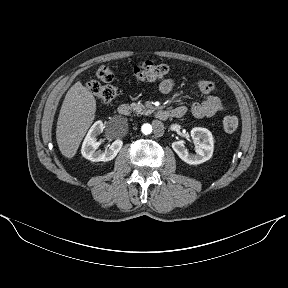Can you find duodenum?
<instances>
[{
  "instance_id": "1",
  "label": "duodenum",
  "mask_w": 288,
  "mask_h": 288,
  "mask_svg": "<svg viewBox=\"0 0 288 288\" xmlns=\"http://www.w3.org/2000/svg\"><path fill=\"white\" fill-rule=\"evenodd\" d=\"M118 112L122 116H128L131 113V107L128 104L123 103L119 105ZM155 116L156 118L160 120H167L169 118H179L182 116V111L176 110V109H172V110L162 109V110H158L155 113Z\"/></svg>"
}]
</instances>
